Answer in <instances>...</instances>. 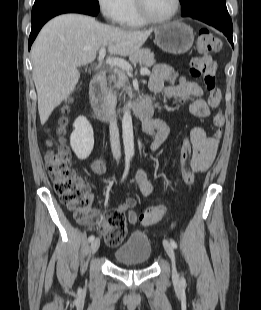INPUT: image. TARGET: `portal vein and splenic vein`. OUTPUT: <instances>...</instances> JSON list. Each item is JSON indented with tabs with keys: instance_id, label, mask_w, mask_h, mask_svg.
I'll list each match as a JSON object with an SVG mask.
<instances>
[{
	"instance_id": "portal-vein-and-splenic-vein-1",
	"label": "portal vein and splenic vein",
	"mask_w": 261,
	"mask_h": 310,
	"mask_svg": "<svg viewBox=\"0 0 261 310\" xmlns=\"http://www.w3.org/2000/svg\"><path fill=\"white\" fill-rule=\"evenodd\" d=\"M105 55H106V49H105V47H102L99 50V57H98V60L100 63L103 61ZM106 64L111 65V66H117V67H119L123 70H126V71H132L131 65L127 61L120 59V58H107ZM140 74L141 75H150V71L147 68H142L140 70Z\"/></svg>"
}]
</instances>
